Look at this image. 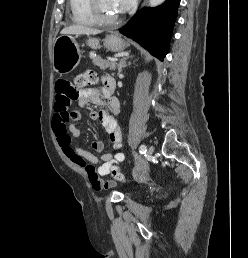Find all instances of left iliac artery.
<instances>
[{
  "label": "left iliac artery",
  "mask_w": 248,
  "mask_h": 258,
  "mask_svg": "<svg viewBox=\"0 0 248 258\" xmlns=\"http://www.w3.org/2000/svg\"><path fill=\"white\" fill-rule=\"evenodd\" d=\"M139 152L141 154H146L147 152V149H146V146L144 144H142L140 147H139Z\"/></svg>",
  "instance_id": "obj_1"
}]
</instances>
